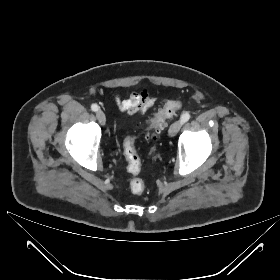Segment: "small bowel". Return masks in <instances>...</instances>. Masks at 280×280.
Instances as JSON below:
<instances>
[{"mask_svg": "<svg viewBox=\"0 0 280 280\" xmlns=\"http://www.w3.org/2000/svg\"><path fill=\"white\" fill-rule=\"evenodd\" d=\"M114 99L119 110L130 116L145 114L156 101L155 95L147 88L132 92L124 99L115 95Z\"/></svg>", "mask_w": 280, "mask_h": 280, "instance_id": "small-bowel-1", "label": "small bowel"}]
</instances>
